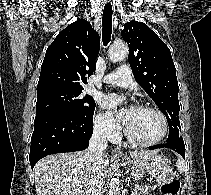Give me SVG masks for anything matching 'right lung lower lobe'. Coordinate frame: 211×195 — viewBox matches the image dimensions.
I'll return each instance as SVG.
<instances>
[{
  "mask_svg": "<svg viewBox=\"0 0 211 195\" xmlns=\"http://www.w3.org/2000/svg\"><path fill=\"white\" fill-rule=\"evenodd\" d=\"M93 133V115L88 117L49 113L35 117L29 161L50 154L85 150Z\"/></svg>",
  "mask_w": 211,
  "mask_h": 195,
  "instance_id": "obj_1",
  "label": "right lung lower lobe"
}]
</instances>
